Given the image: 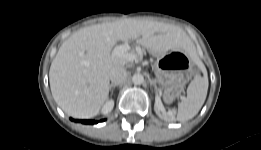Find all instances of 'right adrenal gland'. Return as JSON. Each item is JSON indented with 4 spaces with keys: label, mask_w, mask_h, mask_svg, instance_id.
<instances>
[{
    "label": "right adrenal gland",
    "mask_w": 261,
    "mask_h": 150,
    "mask_svg": "<svg viewBox=\"0 0 261 150\" xmlns=\"http://www.w3.org/2000/svg\"><path fill=\"white\" fill-rule=\"evenodd\" d=\"M117 86H118V84H113V83H112V84L110 85V87H109L110 91L112 92V91H113L112 89L115 88V87H117Z\"/></svg>",
    "instance_id": "2a0ac1e0"
}]
</instances>
